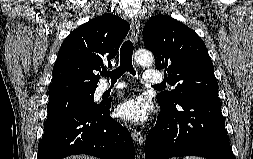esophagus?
Listing matches in <instances>:
<instances>
[{"label":"esophagus","mask_w":253,"mask_h":159,"mask_svg":"<svg viewBox=\"0 0 253 159\" xmlns=\"http://www.w3.org/2000/svg\"><path fill=\"white\" fill-rule=\"evenodd\" d=\"M139 20L137 18H133L131 20V39L134 44L138 42V37H139ZM130 132L133 140L139 144L143 145L144 143V135L138 131L137 129L131 128L130 127Z\"/></svg>","instance_id":"obj_1"}]
</instances>
